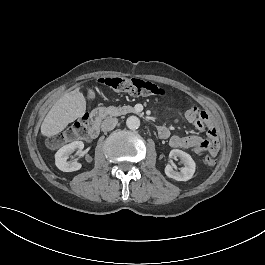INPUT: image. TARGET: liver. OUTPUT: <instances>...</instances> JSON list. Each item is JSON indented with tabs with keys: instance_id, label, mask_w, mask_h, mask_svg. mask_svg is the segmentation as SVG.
<instances>
[{
	"instance_id": "obj_1",
	"label": "liver",
	"mask_w": 265,
	"mask_h": 265,
	"mask_svg": "<svg viewBox=\"0 0 265 265\" xmlns=\"http://www.w3.org/2000/svg\"><path fill=\"white\" fill-rule=\"evenodd\" d=\"M86 100L79 89L62 96L50 109L41 125V133L50 137L63 131L67 125L84 115Z\"/></svg>"
}]
</instances>
